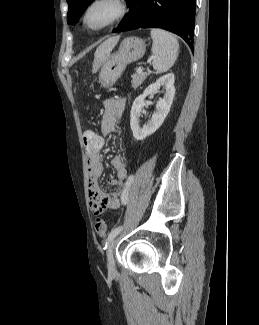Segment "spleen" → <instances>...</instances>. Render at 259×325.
<instances>
[{"label": "spleen", "mask_w": 259, "mask_h": 325, "mask_svg": "<svg viewBox=\"0 0 259 325\" xmlns=\"http://www.w3.org/2000/svg\"><path fill=\"white\" fill-rule=\"evenodd\" d=\"M150 34L153 40L152 66L156 73L166 72L173 66L178 57V40L174 35L162 29H152Z\"/></svg>", "instance_id": "obj_1"}]
</instances>
